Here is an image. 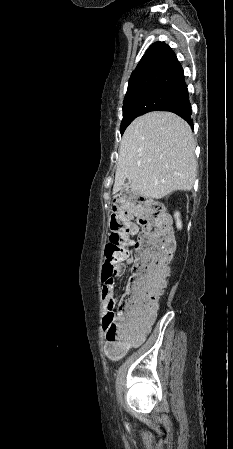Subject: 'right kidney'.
<instances>
[{
	"label": "right kidney",
	"instance_id": "ca27d5eb",
	"mask_svg": "<svg viewBox=\"0 0 233 449\" xmlns=\"http://www.w3.org/2000/svg\"><path fill=\"white\" fill-rule=\"evenodd\" d=\"M179 216H180V214H179V212H176L175 213V218H176V225H177V228H181L182 227V224H181V220L179 219Z\"/></svg>",
	"mask_w": 233,
	"mask_h": 449
}]
</instances>
